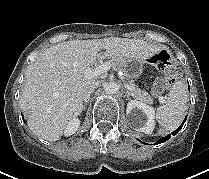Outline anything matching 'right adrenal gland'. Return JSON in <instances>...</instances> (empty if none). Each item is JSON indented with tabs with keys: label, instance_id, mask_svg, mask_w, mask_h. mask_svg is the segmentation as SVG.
<instances>
[{
	"label": "right adrenal gland",
	"instance_id": "obj_1",
	"mask_svg": "<svg viewBox=\"0 0 209 179\" xmlns=\"http://www.w3.org/2000/svg\"><path fill=\"white\" fill-rule=\"evenodd\" d=\"M89 100H87L83 105V110H85V106L88 104Z\"/></svg>",
	"mask_w": 209,
	"mask_h": 179
}]
</instances>
